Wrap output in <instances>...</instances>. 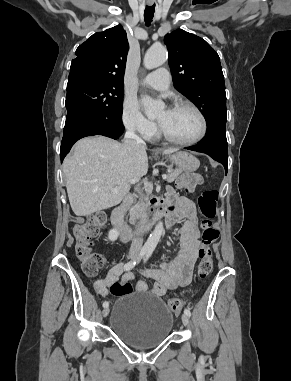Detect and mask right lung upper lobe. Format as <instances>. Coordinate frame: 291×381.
I'll use <instances>...</instances> for the list:
<instances>
[{
  "mask_svg": "<svg viewBox=\"0 0 291 381\" xmlns=\"http://www.w3.org/2000/svg\"><path fill=\"white\" fill-rule=\"evenodd\" d=\"M129 45L121 25L93 34L76 50L68 82L87 80L123 86Z\"/></svg>",
  "mask_w": 291,
  "mask_h": 381,
  "instance_id": "obj_1",
  "label": "right lung upper lobe"
}]
</instances>
